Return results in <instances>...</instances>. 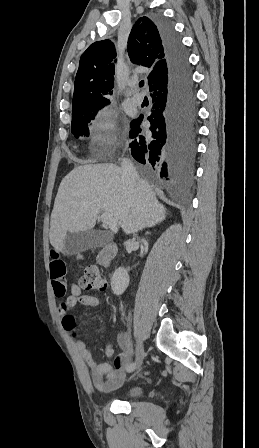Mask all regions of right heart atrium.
I'll return each instance as SVG.
<instances>
[{
  "label": "right heart atrium",
  "mask_w": 259,
  "mask_h": 448,
  "mask_svg": "<svg viewBox=\"0 0 259 448\" xmlns=\"http://www.w3.org/2000/svg\"><path fill=\"white\" fill-rule=\"evenodd\" d=\"M118 141L115 120L103 114H97L89 126L88 146L101 152H114Z\"/></svg>",
  "instance_id": "d8ad5b80"
}]
</instances>
